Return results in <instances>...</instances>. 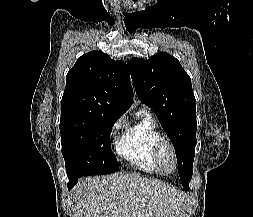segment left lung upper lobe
<instances>
[{"instance_id":"1","label":"left lung upper lobe","mask_w":253,"mask_h":217,"mask_svg":"<svg viewBox=\"0 0 253 217\" xmlns=\"http://www.w3.org/2000/svg\"><path fill=\"white\" fill-rule=\"evenodd\" d=\"M138 98L157 115L174 144L182 185L189 189L196 146V100L191 79L166 52L128 62Z\"/></svg>"}]
</instances>
